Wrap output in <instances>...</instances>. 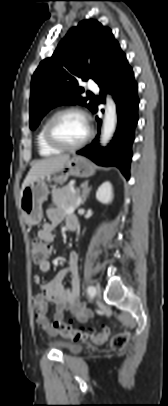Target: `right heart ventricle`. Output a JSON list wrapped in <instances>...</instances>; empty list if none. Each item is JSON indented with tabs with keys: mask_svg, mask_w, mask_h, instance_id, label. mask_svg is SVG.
Wrapping results in <instances>:
<instances>
[{
	"mask_svg": "<svg viewBox=\"0 0 168 406\" xmlns=\"http://www.w3.org/2000/svg\"><path fill=\"white\" fill-rule=\"evenodd\" d=\"M45 125H46V122H44L39 128L37 135H36V143H37L39 154L41 156L48 157V156H53V155L60 153L61 150L50 146L46 142L45 137H44Z\"/></svg>",
	"mask_w": 168,
	"mask_h": 406,
	"instance_id": "e07e8e85",
	"label": "right heart ventricle"
}]
</instances>
